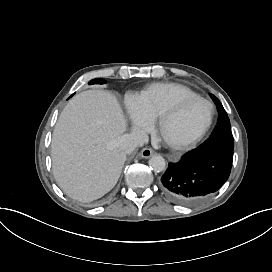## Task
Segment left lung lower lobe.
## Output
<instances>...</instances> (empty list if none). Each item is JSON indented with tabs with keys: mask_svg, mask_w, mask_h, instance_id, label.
Instances as JSON below:
<instances>
[{
	"mask_svg": "<svg viewBox=\"0 0 272 272\" xmlns=\"http://www.w3.org/2000/svg\"><path fill=\"white\" fill-rule=\"evenodd\" d=\"M233 150L208 147L192 150L169 164L161 189L173 202L192 205L216 192L228 179Z\"/></svg>",
	"mask_w": 272,
	"mask_h": 272,
	"instance_id": "0a47b994",
	"label": "left lung lower lobe"
}]
</instances>
